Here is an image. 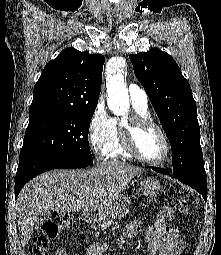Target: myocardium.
Instances as JSON below:
<instances>
[{
	"label": "myocardium",
	"instance_id": "1",
	"mask_svg": "<svg viewBox=\"0 0 221 255\" xmlns=\"http://www.w3.org/2000/svg\"><path fill=\"white\" fill-rule=\"evenodd\" d=\"M147 128L156 129L163 138L165 144V154L159 160H151L146 158L139 150L138 147V136L140 132ZM120 135L125 149L138 160L154 165L159 166L166 163L171 155V144L169 137L165 130L150 117L131 115L127 117L120 123Z\"/></svg>",
	"mask_w": 221,
	"mask_h": 255
}]
</instances>
